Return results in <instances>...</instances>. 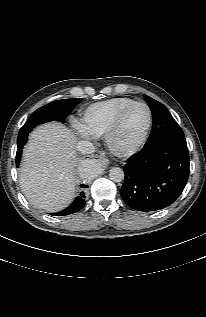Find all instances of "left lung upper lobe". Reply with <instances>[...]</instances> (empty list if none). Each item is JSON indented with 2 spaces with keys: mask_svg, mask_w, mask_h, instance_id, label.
Instances as JSON below:
<instances>
[{
  "mask_svg": "<svg viewBox=\"0 0 206 317\" xmlns=\"http://www.w3.org/2000/svg\"><path fill=\"white\" fill-rule=\"evenodd\" d=\"M144 98L153 114L152 132L144 148L162 142L186 143L182 129L167 108L147 95Z\"/></svg>",
  "mask_w": 206,
  "mask_h": 317,
  "instance_id": "left-lung-upper-lobe-1",
  "label": "left lung upper lobe"
}]
</instances>
